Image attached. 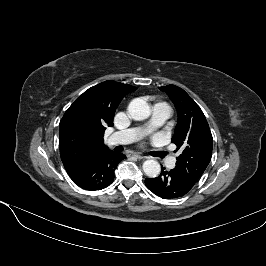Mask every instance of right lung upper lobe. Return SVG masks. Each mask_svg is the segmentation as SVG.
Listing matches in <instances>:
<instances>
[{
    "instance_id": "obj_1",
    "label": "right lung upper lobe",
    "mask_w": 266,
    "mask_h": 266,
    "mask_svg": "<svg viewBox=\"0 0 266 266\" xmlns=\"http://www.w3.org/2000/svg\"><path fill=\"white\" fill-rule=\"evenodd\" d=\"M136 87L102 82L89 88L67 109L59 124V146L65 169L95 153L108 150L103 143L106 126H112L122 98Z\"/></svg>"
}]
</instances>
